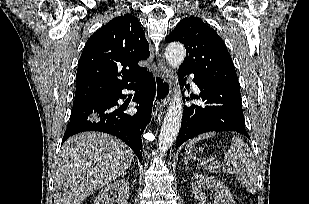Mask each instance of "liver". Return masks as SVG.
I'll list each match as a JSON object with an SVG mask.
<instances>
[{
  "instance_id": "6515ba94",
  "label": "liver",
  "mask_w": 309,
  "mask_h": 204,
  "mask_svg": "<svg viewBox=\"0 0 309 204\" xmlns=\"http://www.w3.org/2000/svg\"><path fill=\"white\" fill-rule=\"evenodd\" d=\"M134 159L121 140L84 132L63 144L54 168V204H81L94 191L122 175Z\"/></svg>"
}]
</instances>
